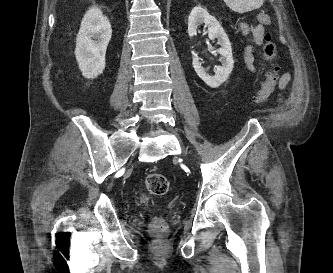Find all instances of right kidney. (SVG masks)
<instances>
[{
	"label": "right kidney",
	"mask_w": 333,
	"mask_h": 273,
	"mask_svg": "<svg viewBox=\"0 0 333 273\" xmlns=\"http://www.w3.org/2000/svg\"><path fill=\"white\" fill-rule=\"evenodd\" d=\"M112 36L109 20L98 7H91L81 22L75 56L83 76L93 79L105 68V54Z\"/></svg>",
	"instance_id": "right-kidney-1"
}]
</instances>
